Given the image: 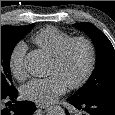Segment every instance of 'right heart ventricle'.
Returning a JSON list of instances; mask_svg holds the SVG:
<instances>
[{"mask_svg": "<svg viewBox=\"0 0 115 115\" xmlns=\"http://www.w3.org/2000/svg\"><path fill=\"white\" fill-rule=\"evenodd\" d=\"M73 37L71 34L56 27L41 29L33 37V41L51 57H55L61 48Z\"/></svg>", "mask_w": 115, "mask_h": 115, "instance_id": "right-heart-ventricle-1", "label": "right heart ventricle"}]
</instances>
